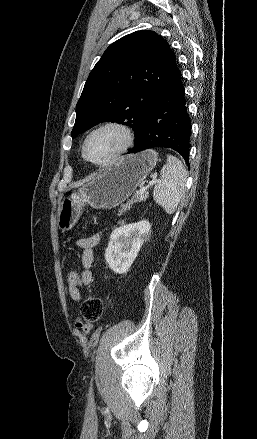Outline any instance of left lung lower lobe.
<instances>
[{
  "label": "left lung lower lobe",
  "mask_w": 257,
  "mask_h": 439,
  "mask_svg": "<svg viewBox=\"0 0 257 439\" xmlns=\"http://www.w3.org/2000/svg\"><path fill=\"white\" fill-rule=\"evenodd\" d=\"M184 87L177 64L168 81L153 100L140 125L136 153L149 148H170L177 151L189 166L191 121L186 110Z\"/></svg>",
  "instance_id": "left-lung-lower-lobe-1"
}]
</instances>
